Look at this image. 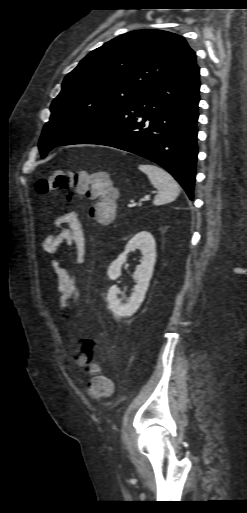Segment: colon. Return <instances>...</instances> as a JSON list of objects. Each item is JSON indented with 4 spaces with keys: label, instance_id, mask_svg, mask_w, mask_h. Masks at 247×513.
<instances>
[{
    "label": "colon",
    "instance_id": "obj_1",
    "mask_svg": "<svg viewBox=\"0 0 247 513\" xmlns=\"http://www.w3.org/2000/svg\"><path fill=\"white\" fill-rule=\"evenodd\" d=\"M35 189L39 194L52 192L63 193L71 199L74 193L88 196L94 201L89 214L103 225L110 224L115 218L113 211L116 193L109 185V178L103 173L87 171L58 170L38 180ZM72 356L77 360V368L87 379L86 391L97 399L109 397L113 392L111 380L101 373V367L91 358L92 349L87 341H80L72 349Z\"/></svg>",
    "mask_w": 247,
    "mask_h": 513
}]
</instances>
